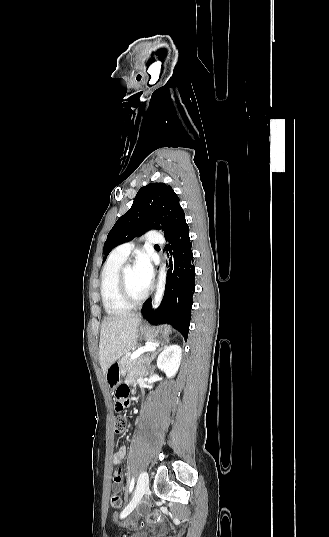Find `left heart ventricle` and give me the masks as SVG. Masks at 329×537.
Wrapping results in <instances>:
<instances>
[{"label": "left heart ventricle", "mask_w": 329, "mask_h": 537, "mask_svg": "<svg viewBox=\"0 0 329 537\" xmlns=\"http://www.w3.org/2000/svg\"><path fill=\"white\" fill-rule=\"evenodd\" d=\"M126 284L128 293L133 298L141 297L147 290L139 281L134 266H129L126 270Z\"/></svg>", "instance_id": "1"}]
</instances>
